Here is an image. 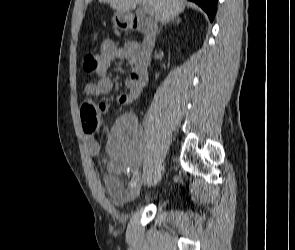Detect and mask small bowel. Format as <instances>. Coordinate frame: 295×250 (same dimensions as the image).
Instances as JSON below:
<instances>
[{
  "mask_svg": "<svg viewBox=\"0 0 295 250\" xmlns=\"http://www.w3.org/2000/svg\"><path fill=\"white\" fill-rule=\"evenodd\" d=\"M141 56V50L137 43H129L123 47L117 46L112 40H104L101 44L100 53L97 55L98 70L96 80L88 83L83 89L87 97L105 95L113 89V82L107 76L111 63L118 60H126L133 67V71L126 82L127 91L117 96L120 105H128L135 102L142 93L146 81H142L136 73V66ZM102 114L109 113L110 105L100 104ZM85 144L90 155H97L100 145L91 136H85ZM143 146L141 129L137 119L132 114H124L113 125L108 141V153L111 159L106 185L117 200L126 196L124 180L116 173V169L128 162L136 163L140 159Z\"/></svg>",
  "mask_w": 295,
  "mask_h": 250,
  "instance_id": "c3829d8e",
  "label": "small bowel"
}]
</instances>
